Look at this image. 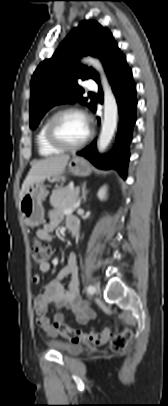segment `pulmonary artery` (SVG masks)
<instances>
[{
  "label": "pulmonary artery",
  "instance_id": "1",
  "mask_svg": "<svg viewBox=\"0 0 168 406\" xmlns=\"http://www.w3.org/2000/svg\"><path fill=\"white\" fill-rule=\"evenodd\" d=\"M86 88L88 90H97V84L93 79H88L86 82Z\"/></svg>",
  "mask_w": 168,
  "mask_h": 406
}]
</instances>
